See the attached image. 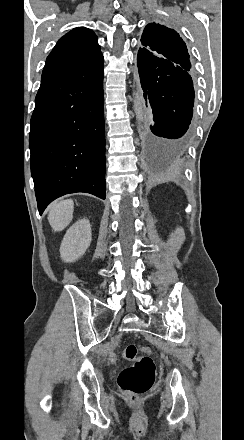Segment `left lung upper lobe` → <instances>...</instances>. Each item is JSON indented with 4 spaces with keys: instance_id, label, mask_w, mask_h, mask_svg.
I'll list each match as a JSON object with an SVG mask.
<instances>
[{
    "instance_id": "left-lung-upper-lobe-1",
    "label": "left lung upper lobe",
    "mask_w": 244,
    "mask_h": 440,
    "mask_svg": "<svg viewBox=\"0 0 244 440\" xmlns=\"http://www.w3.org/2000/svg\"><path fill=\"white\" fill-rule=\"evenodd\" d=\"M137 62L172 66L190 71L191 63L185 42L179 34L164 25L149 23L141 37Z\"/></svg>"
}]
</instances>
